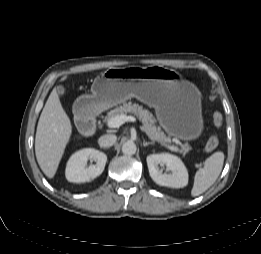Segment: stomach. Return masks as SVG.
I'll return each instance as SVG.
<instances>
[{"instance_id": "1", "label": "stomach", "mask_w": 261, "mask_h": 254, "mask_svg": "<svg viewBox=\"0 0 261 254\" xmlns=\"http://www.w3.org/2000/svg\"><path fill=\"white\" fill-rule=\"evenodd\" d=\"M181 75L162 66L109 68L96 77L92 94L80 99L96 113L135 97L155 109L163 129L173 137L190 141L203 131L198 88Z\"/></svg>"}]
</instances>
